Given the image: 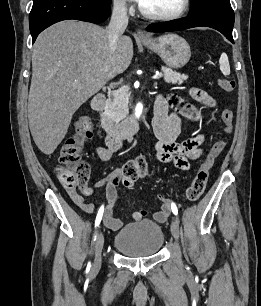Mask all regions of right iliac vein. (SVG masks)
Wrapping results in <instances>:
<instances>
[{
	"label": "right iliac vein",
	"mask_w": 261,
	"mask_h": 306,
	"mask_svg": "<svg viewBox=\"0 0 261 306\" xmlns=\"http://www.w3.org/2000/svg\"><path fill=\"white\" fill-rule=\"evenodd\" d=\"M95 249H94V262L92 265V273L99 271L101 267V253L104 246V236L101 231L95 232Z\"/></svg>",
	"instance_id": "63e3f726"
}]
</instances>
